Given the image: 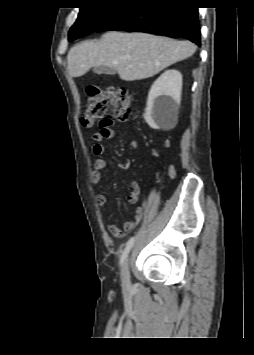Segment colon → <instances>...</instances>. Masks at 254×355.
<instances>
[{"mask_svg": "<svg viewBox=\"0 0 254 355\" xmlns=\"http://www.w3.org/2000/svg\"><path fill=\"white\" fill-rule=\"evenodd\" d=\"M88 101L84 108L82 124L85 127H92L96 124H103L107 103L113 107L114 117L119 121H126L130 114L132 95L124 88H109L102 90L95 86L87 88ZM175 176L174 172L170 173Z\"/></svg>", "mask_w": 254, "mask_h": 355, "instance_id": "obj_1", "label": "colon"}]
</instances>
